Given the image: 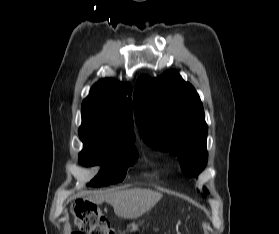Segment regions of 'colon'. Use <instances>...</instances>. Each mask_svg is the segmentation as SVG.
Wrapping results in <instances>:
<instances>
[{"instance_id":"obj_1","label":"colon","mask_w":279,"mask_h":234,"mask_svg":"<svg viewBox=\"0 0 279 234\" xmlns=\"http://www.w3.org/2000/svg\"><path fill=\"white\" fill-rule=\"evenodd\" d=\"M76 231L73 234H117L101 210L90 202L75 209Z\"/></svg>"}]
</instances>
